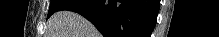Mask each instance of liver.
I'll return each instance as SVG.
<instances>
[{"instance_id":"obj_1","label":"liver","mask_w":219,"mask_h":37,"mask_svg":"<svg viewBox=\"0 0 219 37\" xmlns=\"http://www.w3.org/2000/svg\"><path fill=\"white\" fill-rule=\"evenodd\" d=\"M50 37H97L95 27L81 15L71 11H59L48 21Z\"/></svg>"}]
</instances>
